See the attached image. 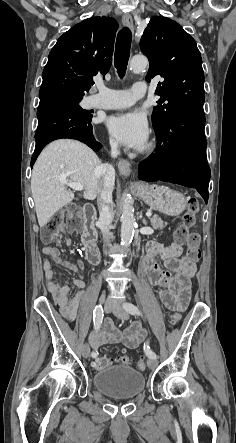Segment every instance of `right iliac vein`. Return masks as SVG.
Returning a JSON list of instances; mask_svg holds the SVG:
<instances>
[{"instance_id": "1", "label": "right iliac vein", "mask_w": 236, "mask_h": 443, "mask_svg": "<svg viewBox=\"0 0 236 443\" xmlns=\"http://www.w3.org/2000/svg\"><path fill=\"white\" fill-rule=\"evenodd\" d=\"M112 307H113L112 304H110V303H106V304L104 305V311H105L106 313H109V312L111 311ZM81 353H82V356H83L84 358H88V357H89V355H90V347H89L88 344H84V345H83L82 350H81Z\"/></svg>"}]
</instances>
